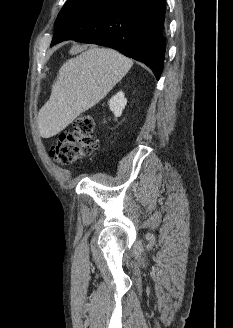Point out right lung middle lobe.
<instances>
[{"instance_id": "right-lung-middle-lobe-1", "label": "right lung middle lobe", "mask_w": 233, "mask_h": 328, "mask_svg": "<svg viewBox=\"0 0 233 328\" xmlns=\"http://www.w3.org/2000/svg\"><path fill=\"white\" fill-rule=\"evenodd\" d=\"M92 1L93 0H68L66 2V4L64 5L62 11L59 13V15L56 19V22H58L59 20H61L64 17L72 14L73 12L85 7Z\"/></svg>"}]
</instances>
